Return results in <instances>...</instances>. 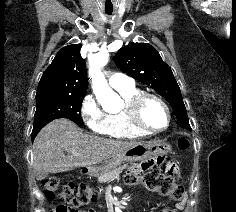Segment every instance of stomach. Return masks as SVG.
<instances>
[{"label": "stomach", "instance_id": "1", "mask_svg": "<svg viewBox=\"0 0 236 212\" xmlns=\"http://www.w3.org/2000/svg\"><path fill=\"white\" fill-rule=\"evenodd\" d=\"M170 146L161 141L140 142L124 153L109 157L95 165L87 167V173L100 176L112 169L117 168L126 161H144L158 155L166 154Z\"/></svg>", "mask_w": 236, "mask_h": 212}]
</instances>
